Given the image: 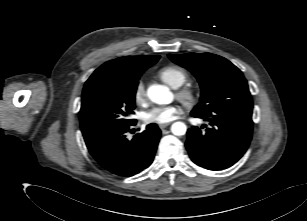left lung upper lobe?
I'll return each instance as SVG.
<instances>
[{"label":"left lung upper lobe","instance_id":"obj_1","mask_svg":"<svg viewBox=\"0 0 307 221\" xmlns=\"http://www.w3.org/2000/svg\"><path fill=\"white\" fill-rule=\"evenodd\" d=\"M168 57L188 69L200 83V103L191 113L209 116L226 109L252 111L247 81L227 59L211 53L168 54Z\"/></svg>","mask_w":307,"mask_h":221}]
</instances>
